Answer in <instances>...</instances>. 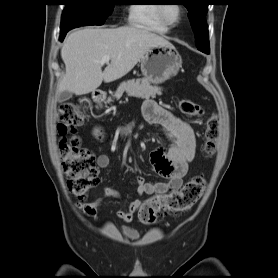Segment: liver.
Listing matches in <instances>:
<instances>
[{
	"mask_svg": "<svg viewBox=\"0 0 278 278\" xmlns=\"http://www.w3.org/2000/svg\"><path fill=\"white\" fill-rule=\"evenodd\" d=\"M157 45H170L165 38L146 29L125 26L115 29L85 28L71 33L61 48L65 75L57 88V94L69 91L85 95L95 91L101 83L115 81L127 73L142 59L145 53ZM110 56V64L102 71L100 61Z\"/></svg>",
	"mask_w": 278,
	"mask_h": 278,
	"instance_id": "1",
	"label": "liver"
}]
</instances>
